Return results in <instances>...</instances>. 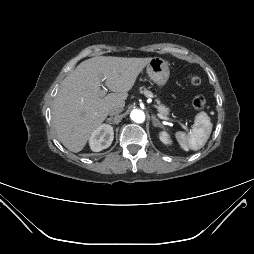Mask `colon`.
I'll return each instance as SVG.
<instances>
[{
	"label": "colon",
	"mask_w": 254,
	"mask_h": 254,
	"mask_svg": "<svg viewBox=\"0 0 254 254\" xmlns=\"http://www.w3.org/2000/svg\"><path fill=\"white\" fill-rule=\"evenodd\" d=\"M188 81L191 86H199L202 82V79L197 74H191L188 78ZM205 104H206L205 99L202 96H197L192 101V105L196 110L203 109L205 107Z\"/></svg>",
	"instance_id": "colon-1"
}]
</instances>
